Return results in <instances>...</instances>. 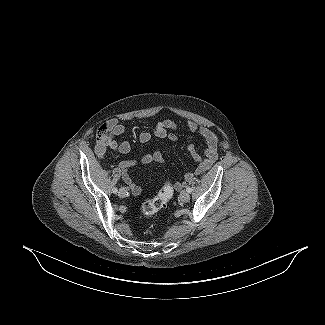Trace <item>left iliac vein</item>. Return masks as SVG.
Here are the masks:
<instances>
[{
	"mask_svg": "<svg viewBox=\"0 0 325 325\" xmlns=\"http://www.w3.org/2000/svg\"><path fill=\"white\" fill-rule=\"evenodd\" d=\"M179 198L182 202L186 203L190 200V195L187 191L183 190L181 191Z\"/></svg>",
	"mask_w": 325,
	"mask_h": 325,
	"instance_id": "1",
	"label": "left iliac vein"
}]
</instances>
